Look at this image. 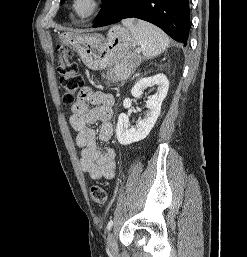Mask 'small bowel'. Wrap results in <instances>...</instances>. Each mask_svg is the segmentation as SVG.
<instances>
[{
	"label": "small bowel",
	"mask_w": 247,
	"mask_h": 257,
	"mask_svg": "<svg viewBox=\"0 0 247 257\" xmlns=\"http://www.w3.org/2000/svg\"><path fill=\"white\" fill-rule=\"evenodd\" d=\"M113 105L112 95L83 87L71 106L69 122L81 149V169L93 180H111L115 176V148H99L97 143L108 142L113 136ZM95 123H99L97 131L91 127Z\"/></svg>",
	"instance_id": "c3829d8e"
}]
</instances>
